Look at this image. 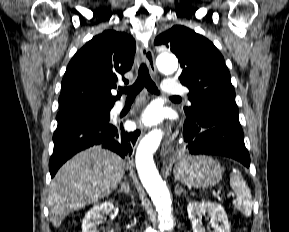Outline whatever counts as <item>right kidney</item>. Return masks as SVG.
I'll use <instances>...</instances> for the list:
<instances>
[{"label": "right kidney", "instance_id": "ca27d5eb", "mask_svg": "<svg viewBox=\"0 0 289 232\" xmlns=\"http://www.w3.org/2000/svg\"><path fill=\"white\" fill-rule=\"evenodd\" d=\"M114 209L111 202H104L93 206L85 215L82 222V232H98L97 225L104 215H108Z\"/></svg>", "mask_w": 289, "mask_h": 232}]
</instances>
